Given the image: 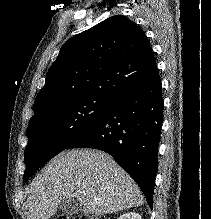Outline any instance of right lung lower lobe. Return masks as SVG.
<instances>
[{
    "label": "right lung lower lobe",
    "mask_w": 211,
    "mask_h": 219,
    "mask_svg": "<svg viewBox=\"0 0 211 219\" xmlns=\"http://www.w3.org/2000/svg\"><path fill=\"white\" fill-rule=\"evenodd\" d=\"M163 108L156 69L146 82L113 100L101 118L66 149L95 148L110 154L135 180L152 209Z\"/></svg>",
    "instance_id": "1"
}]
</instances>
